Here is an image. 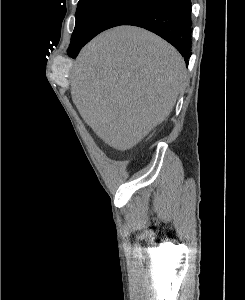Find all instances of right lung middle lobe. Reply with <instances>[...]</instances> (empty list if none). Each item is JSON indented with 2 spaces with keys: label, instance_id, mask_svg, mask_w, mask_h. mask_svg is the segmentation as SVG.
<instances>
[{
  "label": "right lung middle lobe",
  "instance_id": "obj_1",
  "mask_svg": "<svg viewBox=\"0 0 245 300\" xmlns=\"http://www.w3.org/2000/svg\"><path fill=\"white\" fill-rule=\"evenodd\" d=\"M159 0H79L69 48L86 44L100 32L123 25Z\"/></svg>",
  "mask_w": 245,
  "mask_h": 300
}]
</instances>
